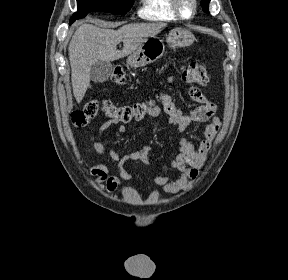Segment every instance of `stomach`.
I'll return each instance as SVG.
<instances>
[{
	"label": "stomach",
	"instance_id": "1",
	"mask_svg": "<svg viewBox=\"0 0 288 280\" xmlns=\"http://www.w3.org/2000/svg\"><path fill=\"white\" fill-rule=\"evenodd\" d=\"M194 41L193 34L183 28L172 29L166 37L169 47L176 49L178 47H188ZM165 51L163 40L158 37H152L143 42L140 47L132 53L127 63L132 67H143L160 59Z\"/></svg>",
	"mask_w": 288,
	"mask_h": 280
}]
</instances>
